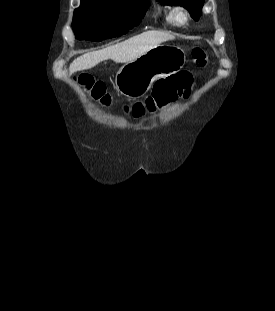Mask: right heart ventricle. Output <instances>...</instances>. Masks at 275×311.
Returning a JSON list of instances; mask_svg holds the SVG:
<instances>
[{"mask_svg":"<svg viewBox=\"0 0 275 311\" xmlns=\"http://www.w3.org/2000/svg\"><path fill=\"white\" fill-rule=\"evenodd\" d=\"M164 25L167 27H175L171 19V12H166L163 16Z\"/></svg>","mask_w":275,"mask_h":311,"instance_id":"e07e8e85","label":"right heart ventricle"}]
</instances>
